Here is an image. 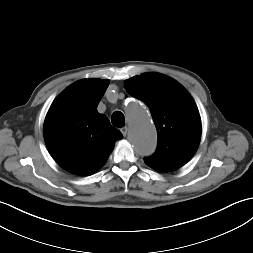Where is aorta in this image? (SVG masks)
<instances>
[{"instance_id": "1", "label": "aorta", "mask_w": 253, "mask_h": 253, "mask_svg": "<svg viewBox=\"0 0 253 253\" xmlns=\"http://www.w3.org/2000/svg\"><path fill=\"white\" fill-rule=\"evenodd\" d=\"M129 118V138L136 150L142 156L151 155L156 148V129L148 111L139 103L132 101L126 107Z\"/></svg>"}]
</instances>
